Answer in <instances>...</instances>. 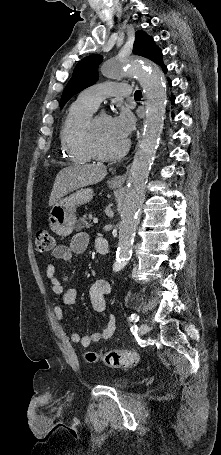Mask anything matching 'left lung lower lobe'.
I'll list each match as a JSON object with an SVG mask.
<instances>
[{
	"mask_svg": "<svg viewBox=\"0 0 221 455\" xmlns=\"http://www.w3.org/2000/svg\"><path fill=\"white\" fill-rule=\"evenodd\" d=\"M162 68H163V70H164L165 72H167V67H166L165 65H164ZM168 80L170 81V79H168ZM172 101H174V97H173V96H172Z\"/></svg>",
	"mask_w": 221,
	"mask_h": 455,
	"instance_id": "obj_1",
	"label": "left lung lower lobe"
}]
</instances>
